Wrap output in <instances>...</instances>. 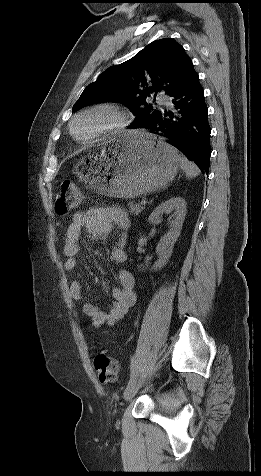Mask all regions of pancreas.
Returning <instances> with one entry per match:
<instances>
[{"label":"pancreas","instance_id":"pancreas-1","mask_svg":"<svg viewBox=\"0 0 261 476\" xmlns=\"http://www.w3.org/2000/svg\"><path fill=\"white\" fill-rule=\"evenodd\" d=\"M129 212L134 215H139L141 211L144 209L143 205L141 203H136L134 201L129 202Z\"/></svg>","mask_w":261,"mask_h":476}]
</instances>
